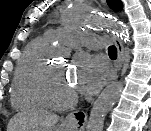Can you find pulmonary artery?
Returning a JSON list of instances; mask_svg holds the SVG:
<instances>
[{
  "instance_id": "pulmonary-artery-1",
  "label": "pulmonary artery",
  "mask_w": 151,
  "mask_h": 131,
  "mask_svg": "<svg viewBox=\"0 0 151 131\" xmlns=\"http://www.w3.org/2000/svg\"><path fill=\"white\" fill-rule=\"evenodd\" d=\"M44 38L48 42L60 41L61 43L70 47L88 46L99 47L100 43L96 36L85 34L80 31H75L69 28H58L48 30Z\"/></svg>"
}]
</instances>
